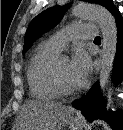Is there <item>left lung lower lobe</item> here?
<instances>
[{
  "instance_id": "0a47b994",
  "label": "left lung lower lobe",
  "mask_w": 123,
  "mask_h": 130,
  "mask_svg": "<svg viewBox=\"0 0 123 130\" xmlns=\"http://www.w3.org/2000/svg\"><path fill=\"white\" fill-rule=\"evenodd\" d=\"M117 26V48L114 60L112 79L115 84L123 80V18L118 9L113 14ZM72 106L81 110L84 117L92 122L94 119H102L115 130H122V116L119 112H108L102 102L99 85L94 84L90 91L82 99L74 101Z\"/></svg>"
}]
</instances>
